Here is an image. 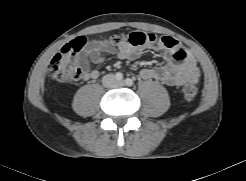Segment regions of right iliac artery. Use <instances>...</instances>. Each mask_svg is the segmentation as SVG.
<instances>
[{
  "mask_svg": "<svg viewBox=\"0 0 246 181\" xmlns=\"http://www.w3.org/2000/svg\"><path fill=\"white\" fill-rule=\"evenodd\" d=\"M115 78H116L118 81H121V80L123 79V74L120 73V72H118V73H116Z\"/></svg>",
  "mask_w": 246,
  "mask_h": 181,
  "instance_id": "obj_1",
  "label": "right iliac artery"
}]
</instances>
